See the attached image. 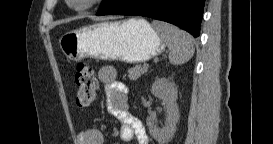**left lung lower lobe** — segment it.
Masks as SVG:
<instances>
[{
    "instance_id": "0a47b994",
    "label": "left lung lower lobe",
    "mask_w": 273,
    "mask_h": 144,
    "mask_svg": "<svg viewBox=\"0 0 273 144\" xmlns=\"http://www.w3.org/2000/svg\"><path fill=\"white\" fill-rule=\"evenodd\" d=\"M204 5L205 0H113L97 15L147 16L177 25L198 37Z\"/></svg>"
}]
</instances>
